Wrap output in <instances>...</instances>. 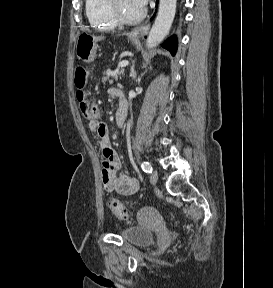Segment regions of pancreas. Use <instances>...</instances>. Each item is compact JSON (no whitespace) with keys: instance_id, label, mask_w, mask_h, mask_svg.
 Instances as JSON below:
<instances>
[{"instance_id":"cf45deb5","label":"pancreas","mask_w":273,"mask_h":288,"mask_svg":"<svg viewBox=\"0 0 273 288\" xmlns=\"http://www.w3.org/2000/svg\"><path fill=\"white\" fill-rule=\"evenodd\" d=\"M124 74V69H116L114 71H111L110 69H107L104 73H103V78H102V82L105 84L106 82H112L113 80L117 81L118 77L121 79V75Z\"/></svg>"}]
</instances>
